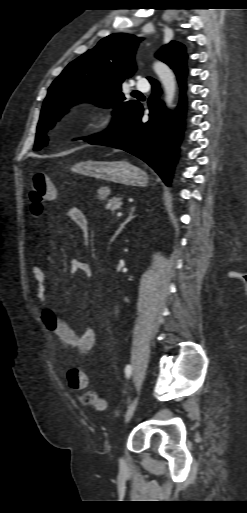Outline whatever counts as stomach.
<instances>
[{"label": "stomach", "mask_w": 247, "mask_h": 513, "mask_svg": "<svg viewBox=\"0 0 247 513\" xmlns=\"http://www.w3.org/2000/svg\"><path fill=\"white\" fill-rule=\"evenodd\" d=\"M74 168L87 176L124 185H145L147 176L143 170L127 161H84Z\"/></svg>", "instance_id": "stomach-1"}]
</instances>
